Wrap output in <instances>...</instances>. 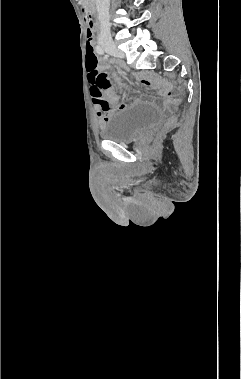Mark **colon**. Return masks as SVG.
Masks as SVG:
<instances>
[{"label":"colon","mask_w":241,"mask_h":379,"mask_svg":"<svg viewBox=\"0 0 241 379\" xmlns=\"http://www.w3.org/2000/svg\"><path fill=\"white\" fill-rule=\"evenodd\" d=\"M86 66H87V80L90 82V89H94V93L105 105L108 103L104 100L103 90L110 85L108 78L98 70V57L95 54L92 46V35L90 29L87 30V53H86Z\"/></svg>","instance_id":"5ec220e1"}]
</instances>
